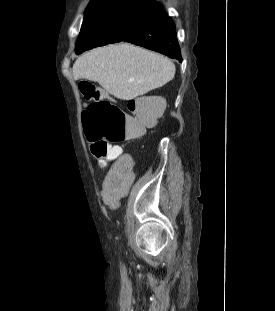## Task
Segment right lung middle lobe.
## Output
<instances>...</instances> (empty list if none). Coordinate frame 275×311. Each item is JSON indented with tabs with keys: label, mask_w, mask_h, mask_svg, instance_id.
I'll use <instances>...</instances> for the list:
<instances>
[{
	"label": "right lung middle lobe",
	"mask_w": 275,
	"mask_h": 311,
	"mask_svg": "<svg viewBox=\"0 0 275 311\" xmlns=\"http://www.w3.org/2000/svg\"><path fill=\"white\" fill-rule=\"evenodd\" d=\"M158 9L157 2L146 0H92L76 41V54L120 42L132 26Z\"/></svg>",
	"instance_id": "dd1d6c3e"
}]
</instances>
